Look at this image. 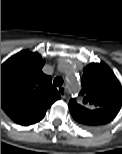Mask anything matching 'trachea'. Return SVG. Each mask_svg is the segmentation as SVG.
Wrapping results in <instances>:
<instances>
[{"mask_svg": "<svg viewBox=\"0 0 122 154\" xmlns=\"http://www.w3.org/2000/svg\"><path fill=\"white\" fill-rule=\"evenodd\" d=\"M54 86L60 87L63 84V79L61 77H56L53 81Z\"/></svg>", "mask_w": 122, "mask_h": 154, "instance_id": "3493384b", "label": "trachea"}]
</instances>
